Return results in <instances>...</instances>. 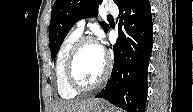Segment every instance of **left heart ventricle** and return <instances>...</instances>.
<instances>
[{
  "label": "left heart ventricle",
  "mask_w": 193,
  "mask_h": 112,
  "mask_svg": "<svg viewBox=\"0 0 193 112\" xmlns=\"http://www.w3.org/2000/svg\"><path fill=\"white\" fill-rule=\"evenodd\" d=\"M104 66L105 56L101 47L96 43H87L76 57L75 76L82 84H93L102 74Z\"/></svg>",
  "instance_id": "obj_1"
}]
</instances>
